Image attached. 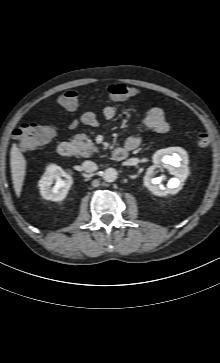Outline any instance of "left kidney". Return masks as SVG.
<instances>
[{"label":"left kidney","mask_w":220,"mask_h":363,"mask_svg":"<svg viewBox=\"0 0 220 363\" xmlns=\"http://www.w3.org/2000/svg\"><path fill=\"white\" fill-rule=\"evenodd\" d=\"M153 165L147 168L144 176V185L156 196L176 194L189 175L187 153L180 148L160 149L153 154ZM166 168L175 177L171 178L167 187L161 184L159 177L152 178L154 170L158 167Z\"/></svg>","instance_id":"obj_1"}]
</instances>
